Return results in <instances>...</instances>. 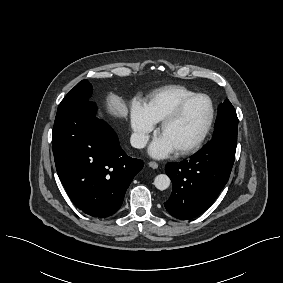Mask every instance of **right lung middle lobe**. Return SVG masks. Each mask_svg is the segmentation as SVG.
<instances>
[{"mask_svg": "<svg viewBox=\"0 0 283 283\" xmlns=\"http://www.w3.org/2000/svg\"><path fill=\"white\" fill-rule=\"evenodd\" d=\"M92 85L87 80L79 82L62 100L58 111L89 99Z\"/></svg>", "mask_w": 283, "mask_h": 283, "instance_id": "right-lung-middle-lobe-1", "label": "right lung middle lobe"}]
</instances>
